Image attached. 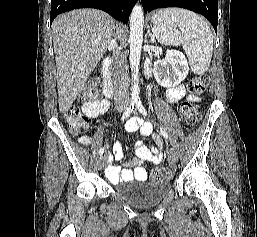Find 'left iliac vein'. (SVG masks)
Instances as JSON below:
<instances>
[{"label":"left iliac vein","instance_id":"obj_1","mask_svg":"<svg viewBox=\"0 0 257 237\" xmlns=\"http://www.w3.org/2000/svg\"><path fill=\"white\" fill-rule=\"evenodd\" d=\"M168 157L172 161H177L178 160V152L174 147H170L168 150Z\"/></svg>","mask_w":257,"mask_h":237}]
</instances>
